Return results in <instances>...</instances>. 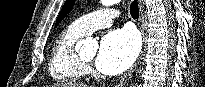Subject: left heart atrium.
Masks as SVG:
<instances>
[{"label": "left heart atrium", "mask_w": 205, "mask_h": 87, "mask_svg": "<svg viewBox=\"0 0 205 87\" xmlns=\"http://www.w3.org/2000/svg\"><path fill=\"white\" fill-rule=\"evenodd\" d=\"M139 48L140 41L135 31L129 28L113 30L101 41L96 67L104 74L120 73L135 61Z\"/></svg>", "instance_id": "39dd6f15"}]
</instances>
